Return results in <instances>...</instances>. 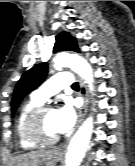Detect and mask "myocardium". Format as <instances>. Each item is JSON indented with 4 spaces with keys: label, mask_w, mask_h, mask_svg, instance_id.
Here are the masks:
<instances>
[{
    "label": "myocardium",
    "mask_w": 135,
    "mask_h": 166,
    "mask_svg": "<svg viewBox=\"0 0 135 166\" xmlns=\"http://www.w3.org/2000/svg\"><path fill=\"white\" fill-rule=\"evenodd\" d=\"M53 110L54 108L52 105L42 104L29 111L23 121L22 129L24 135L40 145H52L58 142L60 139L59 135L47 137L41 129V120L43 116Z\"/></svg>",
    "instance_id": "myocardium-1"
}]
</instances>
